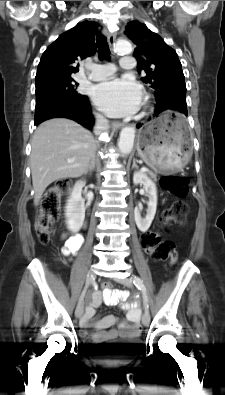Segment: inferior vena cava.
I'll return each mask as SVG.
<instances>
[{"label":"inferior vena cava","instance_id":"obj_1","mask_svg":"<svg viewBox=\"0 0 225 395\" xmlns=\"http://www.w3.org/2000/svg\"><path fill=\"white\" fill-rule=\"evenodd\" d=\"M96 123L94 126V132L96 135H100L103 131H107L109 128L108 120L101 114H96ZM94 157V154H93Z\"/></svg>","mask_w":225,"mask_h":395}]
</instances>
